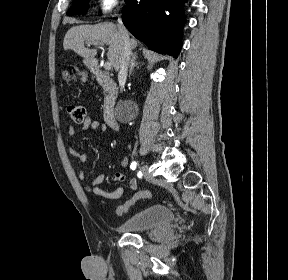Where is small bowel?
I'll return each mask as SVG.
<instances>
[{
	"mask_svg": "<svg viewBox=\"0 0 288 280\" xmlns=\"http://www.w3.org/2000/svg\"><path fill=\"white\" fill-rule=\"evenodd\" d=\"M88 129L102 132L106 130V126L99 119L93 116H88L83 121L79 129H75L73 126H70L68 132L70 136L74 137L78 133L86 131ZM70 153L72 156L76 157L82 165H84L88 159L87 154L81 153L75 148H70ZM120 163L123 167H127L128 158L126 156H122L120 159ZM79 179L85 183V190L87 191V193H89L90 195L96 198L106 199V200H117L124 193V188L122 186L117 187L113 191H107L101 188L100 184L104 182L105 180L104 174H98L94 178H89L86 172L84 170H81L79 173ZM112 181L113 183H119V184L126 183L128 189L131 192H135L137 190V180L135 178L128 179L122 173H115L112 177Z\"/></svg>",
	"mask_w": 288,
	"mask_h": 280,
	"instance_id": "obj_1",
	"label": "small bowel"
}]
</instances>
